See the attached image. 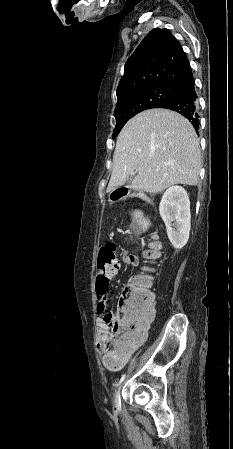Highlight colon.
<instances>
[{
  "label": "colon",
  "instance_id": "5ec220e1",
  "mask_svg": "<svg viewBox=\"0 0 233 449\" xmlns=\"http://www.w3.org/2000/svg\"><path fill=\"white\" fill-rule=\"evenodd\" d=\"M158 244L152 245V250L145 254L148 260H156ZM119 259L113 244L102 246L98 253L96 290L98 302L108 293L109 277L108 269L118 265ZM155 298L152 291V279L148 274H141L131 279L124 288L120 301V315L115 317L107 312L104 319L110 328L111 335L120 334L127 342L135 337L139 324L146 320L147 316L154 313ZM103 363L111 368H119L125 364L122 352H118L113 342L105 346Z\"/></svg>",
  "mask_w": 233,
  "mask_h": 449
}]
</instances>
